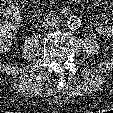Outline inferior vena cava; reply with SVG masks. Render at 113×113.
<instances>
[{
	"instance_id": "602c4592",
	"label": "inferior vena cava",
	"mask_w": 113,
	"mask_h": 113,
	"mask_svg": "<svg viewBox=\"0 0 113 113\" xmlns=\"http://www.w3.org/2000/svg\"><path fill=\"white\" fill-rule=\"evenodd\" d=\"M61 25V19L56 16V15H49L47 16L44 21L42 26L45 29H58Z\"/></svg>"
}]
</instances>
